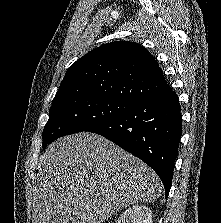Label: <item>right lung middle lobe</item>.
Listing matches in <instances>:
<instances>
[{"mask_svg":"<svg viewBox=\"0 0 221 223\" xmlns=\"http://www.w3.org/2000/svg\"><path fill=\"white\" fill-rule=\"evenodd\" d=\"M133 103L103 96H81L52 103L43 130V145L61 136L86 131L128 110Z\"/></svg>","mask_w":221,"mask_h":223,"instance_id":"1","label":"right lung middle lobe"}]
</instances>
